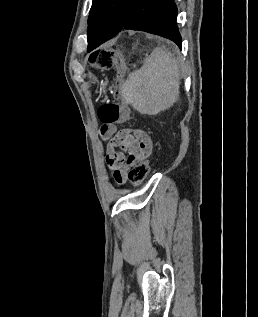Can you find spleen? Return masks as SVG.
I'll return each instance as SVG.
<instances>
[{"instance_id": "obj_1", "label": "spleen", "mask_w": 258, "mask_h": 317, "mask_svg": "<svg viewBox=\"0 0 258 317\" xmlns=\"http://www.w3.org/2000/svg\"><path fill=\"white\" fill-rule=\"evenodd\" d=\"M179 88L178 60L170 50L158 46L141 68L128 74L122 96L141 114H157L178 100Z\"/></svg>"}]
</instances>
